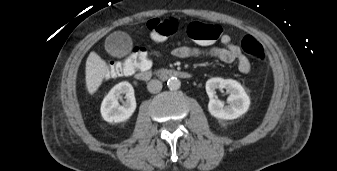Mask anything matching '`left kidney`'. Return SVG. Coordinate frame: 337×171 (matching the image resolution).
Wrapping results in <instances>:
<instances>
[{
    "label": "left kidney",
    "mask_w": 337,
    "mask_h": 171,
    "mask_svg": "<svg viewBox=\"0 0 337 171\" xmlns=\"http://www.w3.org/2000/svg\"><path fill=\"white\" fill-rule=\"evenodd\" d=\"M216 89H226L229 95L228 105L215 99ZM206 92L210 98L208 110L212 116L218 119L232 120L247 112L250 99L242 85L233 79L211 78L206 82Z\"/></svg>",
    "instance_id": "5707ae66"
}]
</instances>
